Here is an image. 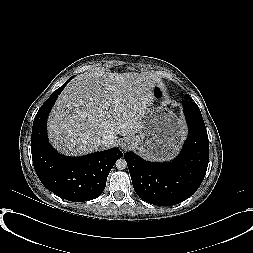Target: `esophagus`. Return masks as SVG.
I'll return each instance as SVG.
<instances>
[{
  "label": "esophagus",
  "instance_id": "1",
  "mask_svg": "<svg viewBox=\"0 0 253 253\" xmlns=\"http://www.w3.org/2000/svg\"><path fill=\"white\" fill-rule=\"evenodd\" d=\"M122 148H123L124 150H126V149H127V145H126V144H122Z\"/></svg>",
  "mask_w": 253,
  "mask_h": 253
}]
</instances>
